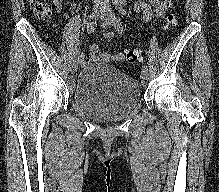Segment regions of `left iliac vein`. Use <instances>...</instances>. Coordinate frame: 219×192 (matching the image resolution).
Masks as SVG:
<instances>
[{"instance_id":"1","label":"left iliac vein","mask_w":219,"mask_h":192,"mask_svg":"<svg viewBox=\"0 0 219 192\" xmlns=\"http://www.w3.org/2000/svg\"><path fill=\"white\" fill-rule=\"evenodd\" d=\"M102 21L103 25L106 27H114L117 31V21L118 19L112 14L110 10H107L103 15H102ZM148 71L142 70L141 72V78H142V83L143 85L147 84L148 80Z\"/></svg>"}]
</instances>
